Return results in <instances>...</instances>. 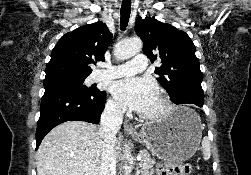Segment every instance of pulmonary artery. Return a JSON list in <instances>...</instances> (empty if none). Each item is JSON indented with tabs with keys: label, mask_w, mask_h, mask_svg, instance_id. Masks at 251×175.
I'll return each instance as SVG.
<instances>
[{
	"label": "pulmonary artery",
	"mask_w": 251,
	"mask_h": 175,
	"mask_svg": "<svg viewBox=\"0 0 251 175\" xmlns=\"http://www.w3.org/2000/svg\"><path fill=\"white\" fill-rule=\"evenodd\" d=\"M147 67H149V59L146 58L145 52H137L134 57V62L130 63V61H126L119 65L112 66V68L105 73V77L116 78L126 76L140 70H147Z\"/></svg>",
	"instance_id": "e3ab8cb5"
}]
</instances>
